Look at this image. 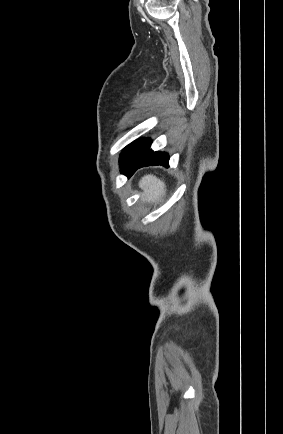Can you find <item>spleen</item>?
I'll return each instance as SVG.
<instances>
[{
    "label": "spleen",
    "instance_id": "1",
    "mask_svg": "<svg viewBox=\"0 0 283 434\" xmlns=\"http://www.w3.org/2000/svg\"><path fill=\"white\" fill-rule=\"evenodd\" d=\"M143 190L141 199L147 202H158L166 195L165 183L153 175L144 176L139 182Z\"/></svg>",
    "mask_w": 283,
    "mask_h": 434
}]
</instances>
